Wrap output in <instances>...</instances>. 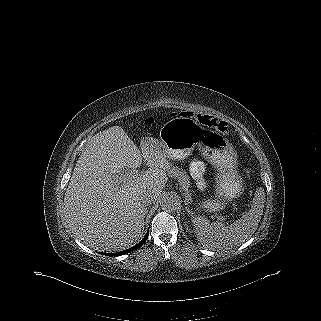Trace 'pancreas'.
<instances>
[{"label": "pancreas", "instance_id": "1", "mask_svg": "<svg viewBox=\"0 0 321 321\" xmlns=\"http://www.w3.org/2000/svg\"><path fill=\"white\" fill-rule=\"evenodd\" d=\"M171 175L177 177L178 182L182 189L187 190L189 188V177L183 171H179L177 168H171L170 170Z\"/></svg>", "mask_w": 321, "mask_h": 321}]
</instances>
